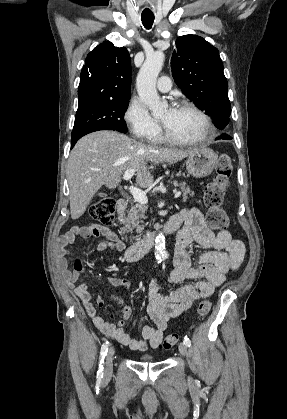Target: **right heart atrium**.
<instances>
[{"label": "right heart atrium", "instance_id": "1", "mask_svg": "<svg viewBox=\"0 0 287 419\" xmlns=\"http://www.w3.org/2000/svg\"><path fill=\"white\" fill-rule=\"evenodd\" d=\"M124 120L130 132L141 140L154 141L160 134L161 129L158 122L137 98L130 101L124 113Z\"/></svg>", "mask_w": 287, "mask_h": 419}]
</instances>
